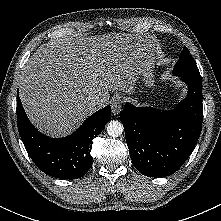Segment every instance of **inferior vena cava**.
I'll return each mask as SVG.
<instances>
[{
	"label": "inferior vena cava",
	"instance_id": "1",
	"mask_svg": "<svg viewBox=\"0 0 221 221\" xmlns=\"http://www.w3.org/2000/svg\"><path fill=\"white\" fill-rule=\"evenodd\" d=\"M89 105L92 106V107H95V108H99L103 105V102L101 99H99L98 97L97 98H94V99H91L89 101Z\"/></svg>",
	"mask_w": 221,
	"mask_h": 221
}]
</instances>
